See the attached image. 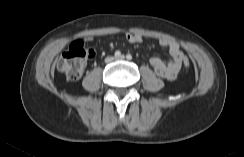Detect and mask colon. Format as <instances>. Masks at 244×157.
Returning a JSON list of instances; mask_svg holds the SVG:
<instances>
[{"instance_id": "5ec220e1", "label": "colon", "mask_w": 244, "mask_h": 157, "mask_svg": "<svg viewBox=\"0 0 244 157\" xmlns=\"http://www.w3.org/2000/svg\"><path fill=\"white\" fill-rule=\"evenodd\" d=\"M94 55V51L85 47L82 41L73 42L69 49L64 52L57 61V68L60 72L66 75L68 79H78L89 58ZM191 61L188 57H184V67H189Z\"/></svg>"}]
</instances>
